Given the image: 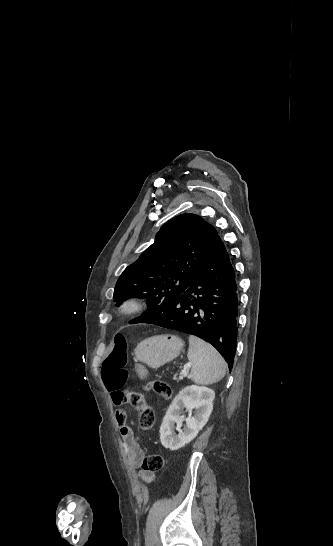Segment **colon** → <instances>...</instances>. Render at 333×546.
Listing matches in <instances>:
<instances>
[{"instance_id": "colon-1", "label": "colon", "mask_w": 333, "mask_h": 546, "mask_svg": "<svg viewBox=\"0 0 333 546\" xmlns=\"http://www.w3.org/2000/svg\"><path fill=\"white\" fill-rule=\"evenodd\" d=\"M126 366L127 341L123 334H117L101 369L102 380L108 391L123 390L128 376ZM144 389L163 399L169 398L172 394L170 386L161 380L146 382ZM122 394V401L129 403L137 411L141 427L143 429H151L155 423V416L144 396L137 392L124 390ZM164 465V456L159 452L148 454L142 461V468L148 472L159 471L163 469Z\"/></svg>"}]
</instances>
